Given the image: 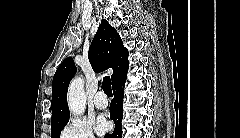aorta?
I'll return each instance as SVG.
<instances>
[{
    "label": "aorta",
    "mask_w": 240,
    "mask_h": 138,
    "mask_svg": "<svg viewBox=\"0 0 240 138\" xmlns=\"http://www.w3.org/2000/svg\"><path fill=\"white\" fill-rule=\"evenodd\" d=\"M68 104L73 115H81L86 108V97L84 94V80L82 77L74 78L68 89Z\"/></svg>",
    "instance_id": "1"
}]
</instances>
